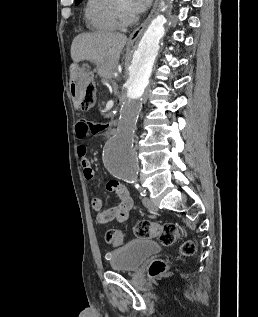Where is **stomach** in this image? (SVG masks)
<instances>
[{
	"mask_svg": "<svg viewBox=\"0 0 258 317\" xmlns=\"http://www.w3.org/2000/svg\"><path fill=\"white\" fill-rule=\"evenodd\" d=\"M128 44H131L130 40H129ZM72 70H73L72 80H76L77 76H81V74H86L85 66H79V64H77V62H75V64H73Z\"/></svg>",
	"mask_w": 258,
	"mask_h": 317,
	"instance_id": "obj_1",
	"label": "stomach"
}]
</instances>
